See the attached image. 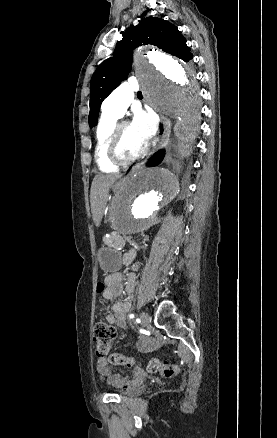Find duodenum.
<instances>
[{
	"label": "duodenum",
	"mask_w": 277,
	"mask_h": 438,
	"mask_svg": "<svg viewBox=\"0 0 277 438\" xmlns=\"http://www.w3.org/2000/svg\"><path fill=\"white\" fill-rule=\"evenodd\" d=\"M133 258H134V255L132 253H125L122 256L121 261L123 264L128 265L132 262Z\"/></svg>",
	"instance_id": "duodenum-1"
}]
</instances>
